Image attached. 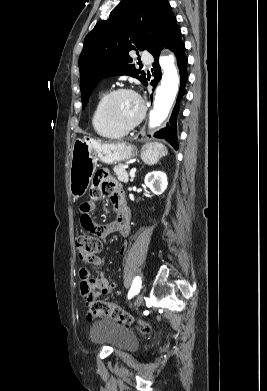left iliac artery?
I'll use <instances>...</instances> for the list:
<instances>
[{
    "label": "left iliac artery",
    "instance_id": "obj_1",
    "mask_svg": "<svg viewBox=\"0 0 267 391\" xmlns=\"http://www.w3.org/2000/svg\"><path fill=\"white\" fill-rule=\"evenodd\" d=\"M140 288H141V278L136 277L128 293V299H131L135 294H137L140 291Z\"/></svg>",
    "mask_w": 267,
    "mask_h": 391
}]
</instances>
